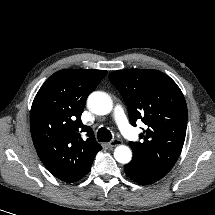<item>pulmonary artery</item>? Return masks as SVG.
<instances>
[{
	"label": "pulmonary artery",
	"instance_id": "1",
	"mask_svg": "<svg viewBox=\"0 0 215 215\" xmlns=\"http://www.w3.org/2000/svg\"><path fill=\"white\" fill-rule=\"evenodd\" d=\"M113 117L118 128L125 137L129 139H134L136 137V134L131 125L129 124L128 119L124 113V110L120 105H116L114 107Z\"/></svg>",
	"mask_w": 215,
	"mask_h": 215
}]
</instances>
